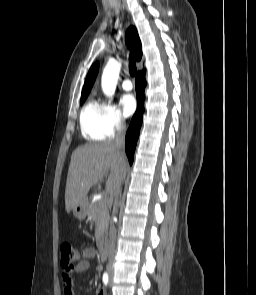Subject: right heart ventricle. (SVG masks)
Masks as SVG:
<instances>
[{"label": "right heart ventricle", "instance_id": "e07e8e85", "mask_svg": "<svg viewBox=\"0 0 256 295\" xmlns=\"http://www.w3.org/2000/svg\"><path fill=\"white\" fill-rule=\"evenodd\" d=\"M82 135L89 141H103L109 137L104 122V106L90 99L80 113Z\"/></svg>", "mask_w": 256, "mask_h": 295}]
</instances>
